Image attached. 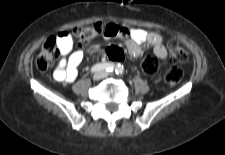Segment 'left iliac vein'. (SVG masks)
I'll use <instances>...</instances> for the list:
<instances>
[{"instance_id": "left-iliac-vein-1", "label": "left iliac vein", "mask_w": 225, "mask_h": 155, "mask_svg": "<svg viewBox=\"0 0 225 155\" xmlns=\"http://www.w3.org/2000/svg\"><path fill=\"white\" fill-rule=\"evenodd\" d=\"M109 76V73L108 72H103V77H107Z\"/></svg>"}]
</instances>
